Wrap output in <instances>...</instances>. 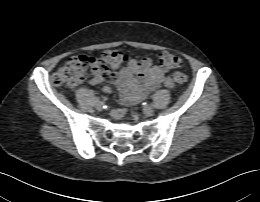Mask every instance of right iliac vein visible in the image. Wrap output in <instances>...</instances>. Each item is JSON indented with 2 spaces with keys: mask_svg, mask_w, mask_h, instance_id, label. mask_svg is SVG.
I'll use <instances>...</instances> for the list:
<instances>
[{
  "mask_svg": "<svg viewBox=\"0 0 260 202\" xmlns=\"http://www.w3.org/2000/svg\"><path fill=\"white\" fill-rule=\"evenodd\" d=\"M96 108H97L98 110H102V108H103V102H102V101H98V102L96 103Z\"/></svg>",
  "mask_w": 260,
  "mask_h": 202,
  "instance_id": "1",
  "label": "right iliac vein"
}]
</instances>
